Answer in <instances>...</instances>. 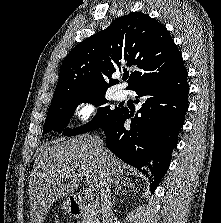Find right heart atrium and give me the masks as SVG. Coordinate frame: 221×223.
I'll return each mask as SVG.
<instances>
[{"label":"right heart atrium","mask_w":221,"mask_h":223,"mask_svg":"<svg viewBox=\"0 0 221 223\" xmlns=\"http://www.w3.org/2000/svg\"><path fill=\"white\" fill-rule=\"evenodd\" d=\"M96 113V107L91 99L78 101L72 110L73 119L79 124L89 123Z\"/></svg>","instance_id":"d8ad5b80"}]
</instances>
